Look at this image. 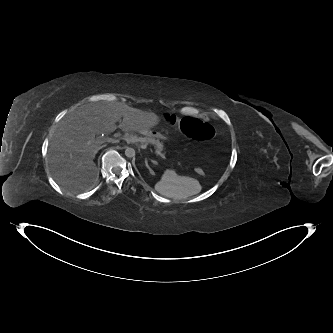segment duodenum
<instances>
[{
  "label": "duodenum",
  "mask_w": 333,
  "mask_h": 333,
  "mask_svg": "<svg viewBox=\"0 0 333 333\" xmlns=\"http://www.w3.org/2000/svg\"><path fill=\"white\" fill-rule=\"evenodd\" d=\"M136 133H137L138 135L141 134V135H143V136H145V135H147V136L149 135V136H150V135L152 134L150 131H149V132H148V131L145 132V131H142V130H141V131L138 130Z\"/></svg>",
  "instance_id": "410a0bca"
}]
</instances>
